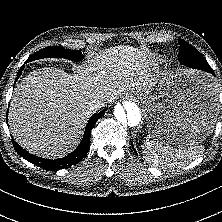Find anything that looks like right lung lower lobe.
Segmentation results:
<instances>
[{"label":"right lung lower lobe","mask_w":222,"mask_h":222,"mask_svg":"<svg viewBox=\"0 0 222 222\" xmlns=\"http://www.w3.org/2000/svg\"><path fill=\"white\" fill-rule=\"evenodd\" d=\"M28 62V60L26 61ZM25 62V63H26ZM24 65L21 66L20 70L17 73V78L18 79L24 69ZM105 111H100L99 113H95L88 121L87 125H86V129L84 132V136L83 139L81 140V143L79 144V146L72 152L70 153L68 156L64 157V158H60V159H56V160H49V159H44V158H40L37 156H34L30 153H28L26 150H24L22 147H20L13 139H12V143L13 146L16 150V152L23 157L24 159H26L27 161H29L30 163L37 165L43 169L46 170H59L62 168H66L69 167L73 164H76L78 162H80L83 157L87 154L89 147H90V135H91V130L94 126V124L96 123V121L101 118L104 115Z\"/></svg>","instance_id":"98d812e1"}]
</instances>
